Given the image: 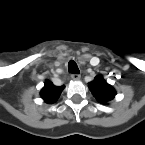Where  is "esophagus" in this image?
Listing matches in <instances>:
<instances>
[{"label": "esophagus", "mask_w": 145, "mask_h": 145, "mask_svg": "<svg viewBox=\"0 0 145 145\" xmlns=\"http://www.w3.org/2000/svg\"><path fill=\"white\" fill-rule=\"evenodd\" d=\"M71 78H72V80L77 81V80H80L81 76L79 74H72Z\"/></svg>", "instance_id": "esophagus-1"}]
</instances>
